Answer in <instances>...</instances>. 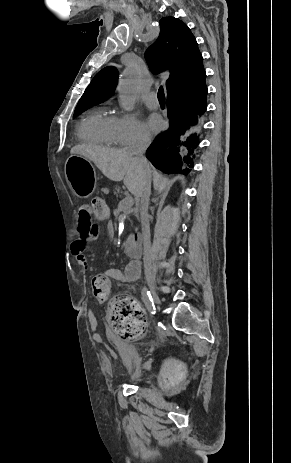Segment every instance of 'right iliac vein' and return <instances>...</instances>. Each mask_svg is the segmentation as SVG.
I'll return each instance as SVG.
<instances>
[{"label": "right iliac vein", "instance_id": "obj_1", "mask_svg": "<svg viewBox=\"0 0 291 463\" xmlns=\"http://www.w3.org/2000/svg\"><path fill=\"white\" fill-rule=\"evenodd\" d=\"M147 282H148L149 288H150L151 293H152L153 301L157 305H159L160 304V299H159L157 291H156V286H155L154 280L152 278H149Z\"/></svg>", "mask_w": 291, "mask_h": 463}]
</instances>
